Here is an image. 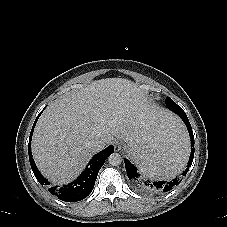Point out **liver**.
Instances as JSON below:
<instances>
[{
    "label": "liver",
    "mask_w": 227,
    "mask_h": 227,
    "mask_svg": "<svg viewBox=\"0 0 227 227\" xmlns=\"http://www.w3.org/2000/svg\"><path fill=\"white\" fill-rule=\"evenodd\" d=\"M153 108L144 92L122 78L93 81L79 91L53 102L40 117L32 140V153L41 173L52 184L76 178L97 152L93 139L110 144L151 117ZM186 133V131H185Z\"/></svg>",
    "instance_id": "6515ba94"
}]
</instances>
